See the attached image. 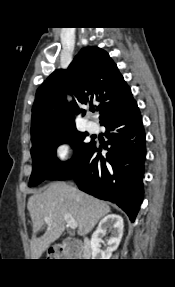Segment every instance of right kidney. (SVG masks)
<instances>
[{
	"label": "right kidney",
	"mask_w": 175,
	"mask_h": 287,
	"mask_svg": "<svg viewBox=\"0 0 175 287\" xmlns=\"http://www.w3.org/2000/svg\"><path fill=\"white\" fill-rule=\"evenodd\" d=\"M109 228L110 237L107 240L108 247L101 250L99 245L100 236L105 234ZM123 218L116 214L105 216L100 222L91 237L92 259H110L122 239L123 235Z\"/></svg>",
	"instance_id": "1"
}]
</instances>
